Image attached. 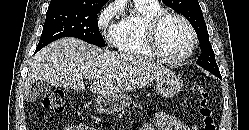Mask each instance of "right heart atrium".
<instances>
[{
    "instance_id": "right-heart-atrium-1",
    "label": "right heart atrium",
    "mask_w": 249,
    "mask_h": 130,
    "mask_svg": "<svg viewBox=\"0 0 249 130\" xmlns=\"http://www.w3.org/2000/svg\"><path fill=\"white\" fill-rule=\"evenodd\" d=\"M117 12V5L115 3H110L105 6L97 17L98 28L106 33V36L111 39L116 24L114 23V18Z\"/></svg>"
}]
</instances>
